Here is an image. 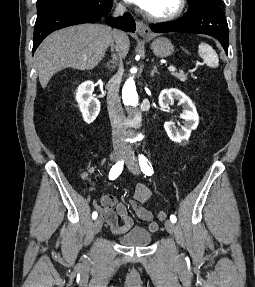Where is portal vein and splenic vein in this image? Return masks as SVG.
<instances>
[{
  "mask_svg": "<svg viewBox=\"0 0 255 287\" xmlns=\"http://www.w3.org/2000/svg\"><path fill=\"white\" fill-rule=\"evenodd\" d=\"M168 70L169 72H176V68H174V66H169Z\"/></svg>",
  "mask_w": 255,
  "mask_h": 287,
  "instance_id": "portal-vein-and-splenic-vein-1",
  "label": "portal vein and splenic vein"
}]
</instances>
